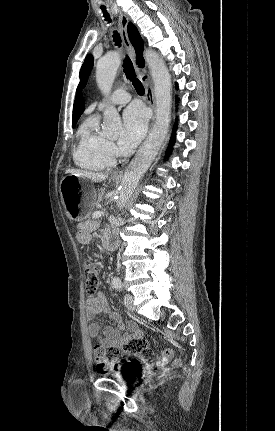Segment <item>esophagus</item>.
I'll use <instances>...</instances> for the list:
<instances>
[{
  "mask_svg": "<svg viewBox=\"0 0 275 431\" xmlns=\"http://www.w3.org/2000/svg\"><path fill=\"white\" fill-rule=\"evenodd\" d=\"M118 18H119V28H120V34H121V38L123 41V44L131 58V60L134 63L136 72L139 76V78L141 79V81L144 84L145 87V100L147 102V104L149 105V107L152 110V123L154 121L155 118V96H154V89H153V85L151 82L150 77L148 76L147 72L145 69H141L136 65V59H135V51L134 48L129 40L128 37V32H127V27H128V23H129V18L123 14L122 12H118ZM115 176H122L123 175V171L122 170H117L113 173Z\"/></svg>",
  "mask_w": 275,
  "mask_h": 431,
  "instance_id": "esophagus-1",
  "label": "esophagus"
}]
</instances>
